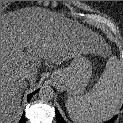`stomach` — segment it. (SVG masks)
Returning <instances> with one entry per match:
<instances>
[{
	"mask_svg": "<svg viewBox=\"0 0 123 123\" xmlns=\"http://www.w3.org/2000/svg\"><path fill=\"white\" fill-rule=\"evenodd\" d=\"M91 73V63L82 53L76 54L68 67L55 70L51 76L57 83L66 86L69 96H75L84 92Z\"/></svg>",
	"mask_w": 123,
	"mask_h": 123,
	"instance_id": "0dacf381",
	"label": "stomach"
}]
</instances>
